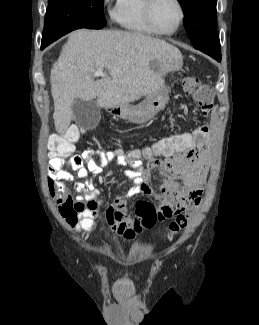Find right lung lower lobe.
<instances>
[{"instance_id": "right-lung-lower-lobe-1", "label": "right lung lower lobe", "mask_w": 259, "mask_h": 325, "mask_svg": "<svg viewBox=\"0 0 259 325\" xmlns=\"http://www.w3.org/2000/svg\"><path fill=\"white\" fill-rule=\"evenodd\" d=\"M47 45H41V49H44Z\"/></svg>"}]
</instances>
